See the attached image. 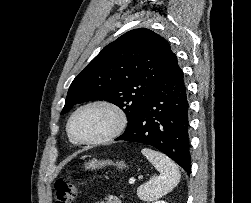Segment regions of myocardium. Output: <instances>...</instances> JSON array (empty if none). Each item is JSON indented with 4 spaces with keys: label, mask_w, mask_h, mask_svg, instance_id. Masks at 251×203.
Instances as JSON below:
<instances>
[{
    "label": "myocardium",
    "mask_w": 251,
    "mask_h": 203,
    "mask_svg": "<svg viewBox=\"0 0 251 203\" xmlns=\"http://www.w3.org/2000/svg\"><path fill=\"white\" fill-rule=\"evenodd\" d=\"M93 107H100V108H104L110 111L115 118L114 125L107 133H105L104 135L100 137H97L94 139H87V140L80 139L76 137L73 133V129H72L73 120L75 116L81 111L89 109V108H93ZM127 122H128V119H127V115L125 111L117 104L108 100H93L79 106L77 109H75L72 112L67 123V132L70 139L77 144H80V145L102 144V143L112 141L115 138L119 137L124 132L127 126Z\"/></svg>",
    "instance_id": "1"
}]
</instances>
